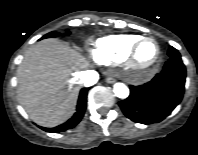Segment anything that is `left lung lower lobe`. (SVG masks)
Instances as JSON below:
<instances>
[{"mask_svg": "<svg viewBox=\"0 0 198 155\" xmlns=\"http://www.w3.org/2000/svg\"><path fill=\"white\" fill-rule=\"evenodd\" d=\"M185 78L186 69L182 60L170 58L150 82L130 86L129 97L120 101L119 106L136 123H158L181 102Z\"/></svg>", "mask_w": 198, "mask_h": 155, "instance_id": "obj_1", "label": "left lung lower lobe"}]
</instances>
